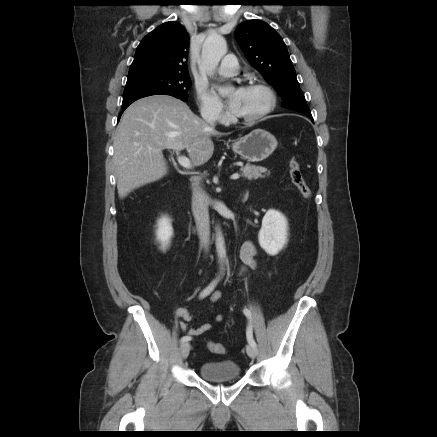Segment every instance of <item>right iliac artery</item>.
Here are the masks:
<instances>
[{
    "label": "right iliac artery",
    "mask_w": 437,
    "mask_h": 437,
    "mask_svg": "<svg viewBox=\"0 0 437 437\" xmlns=\"http://www.w3.org/2000/svg\"><path fill=\"white\" fill-rule=\"evenodd\" d=\"M218 280H213L199 295V297L202 299L204 297H206L207 295H209L215 288V286L217 285ZM191 340L190 336H183L181 338V342H187Z\"/></svg>",
    "instance_id": "right-iliac-artery-1"
}]
</instances>
